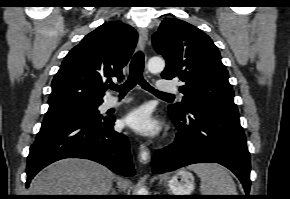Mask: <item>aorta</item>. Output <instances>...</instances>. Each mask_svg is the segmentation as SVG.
Returning <instances> with one entry per match:
<instances>
[{
  "instance_id": "762f6f07",
  "label": "aorta",
  "mask_w": 290,
  "mask_h": 199,
  "mask_svg": "<svg viewBox=\"0 0 290 199\" xmlns=\"http://www.w3.org/2000/svg\"><path fill=\"white\" fill-rule=\"evenodd\" d=\"M165 68V61L161 57H152L149 59L147 69L150 73L162 72ZM138 195H148L146 187L142 186L138 189Z\"/></svg>"
}]
</instances>
